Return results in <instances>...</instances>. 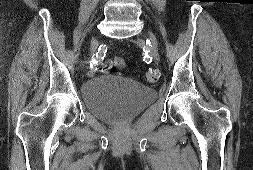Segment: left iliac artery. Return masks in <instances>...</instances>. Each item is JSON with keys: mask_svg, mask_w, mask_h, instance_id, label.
I'll return each mask as SVG.
<instances>
[{"mask_svg": "<svg viewBox=\"0 0 253 170\" xmlns=\"http://www.w3.org/2000/svg\"><path fill=\"white\" fill-rule=\"evenodd\" d=\"M149 42H150V40H147V41H146V44L148 43V44L150 45V43H149Z\"/></svg>", "mask_w": 253, "mask_h": 170, "instance_id": "left-iliac-artery-1", "label": "left iliac artery"}]
</instances>
